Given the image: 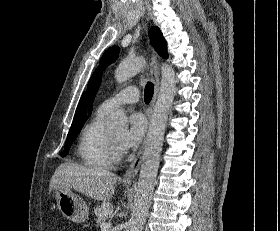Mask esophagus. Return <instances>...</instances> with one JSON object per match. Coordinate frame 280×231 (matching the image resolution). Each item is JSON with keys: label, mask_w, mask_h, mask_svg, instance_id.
<instances>
[{"label": "esophagus", "mask_w": 280, "mask_h": 231, "mask_svg": "<svg viewBox=\"0 0 280 231\" xmlns=\"http://www.w3.org/2000/svg\"><path fill=\"white\" fill-rule=\"evenodd\" d=\"M150 76L152 78V81L154 83V94L152 97V101L150 103L149 113H148V119L150 120L152 115V110L156 102L157 94L160 87V80H159V65H158V59L157 55L155 54L153 50V57H152V63L150 65ZM143 156V146L138 151L135 159L130 163L129 167L127 168L126 172L123 175L122 181H133L139 171V168L141 166Z\"/></svg>", "instance_id": "esophagus-1"}]
</instances>
